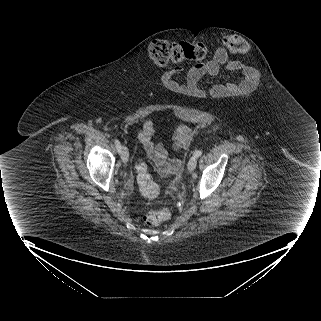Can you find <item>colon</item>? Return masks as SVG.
<instances>
[{
    "instance_id": "colon-1",
    "label": "colon",
    "mask_w": 321,
    "mask_h": 321,
    "mask_svg": "<svg viewBox=\"0 0 321 321\" xmlns=\"http://www.w3.org/2000/svg\"><path fill=\"white\" fill-rule=\"evenodd\" d=\"M223 47L231 53L244 54L248 51V43L237 35H227L222 38ZM209 50L202 43H188L170 40H156L148 47V57L156 67H165L183 62H194L205 59ZM137 180L140 190L147 199H154L158 195V187L147 172L146 165L140 162L136 166ZM170 216L168 210L148 211L144 222L149 226H157Z\"/></svg>"
}]
</instances>
